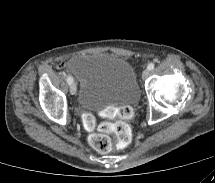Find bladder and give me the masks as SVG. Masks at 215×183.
Returning <instances> with one entry per match:
<instances>
[{
	"label": "bladder",
	"mask_w": 215,
	"mask_h": 183,
	"mask_svg": "<svg viewBox=\"0 0 215 183\" xmlns=\"http://www.w3.org/2000/svg\"><path fill=\"white\" fill-rule=\"evenodd\" d=\"M70 70L81 81L78 104L82 109L100 110L139 99L134 68L121 56L103 52L79 54L72 59Z\"/></svg>",
	"instance_id": "31cf9c89"
}]
</instances>
